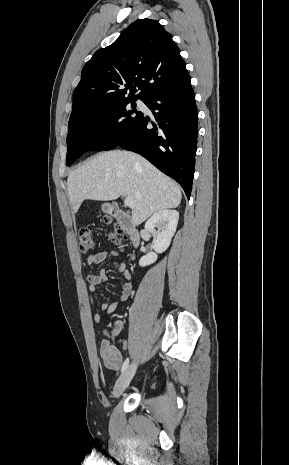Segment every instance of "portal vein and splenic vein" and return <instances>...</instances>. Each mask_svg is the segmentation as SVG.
I'll list each match as a JSON object with an SVG mask.
<instances>
[{"mask_svg": "<svg viewBox=\"0 0 289 465\" xmlns=\"http://www.w3.org/2000/svg\"><path fill=\"white\" fill-rule=\"evenodd\" d=\"M124 204H125L126 206L130 207V208H133V207H134V201H133V199L130 198V197H126V198L124 199Z\"/></svg>", "mask_w": 289, "mask_h": 465, "instance_id": "obj_1", "label": "portal vein and splenic vein"}]
</instances>
